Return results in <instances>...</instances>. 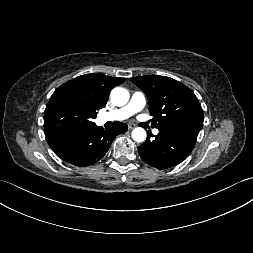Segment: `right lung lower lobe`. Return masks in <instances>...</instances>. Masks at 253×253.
Segmentation results:
<instances>
[{"instance_id":"right-lung-lower-lobe-1","label":"right lung lower lobe","mask_w":253,"mask_h":253,"mask_svg":"<svg viewBox=\"0 0 253 253\" xmlns=\"http://www.w3.org/2000/svg\"><path fill=\"white\" fill-rule=\"evenodd\" d=\"M127 129L128 126L121 122H115L113 127L105 130L94 124L90 127L52 134L46 136V140L63 161L76 166H89L102 159L114 138Z\"/></svg>"}]
</instances>
